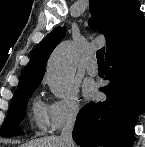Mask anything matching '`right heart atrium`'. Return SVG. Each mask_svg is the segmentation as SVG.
I'll return each instance as SVG.
<instances>
[{
	"label": "right heart atrium",
	"instance_id": "obj_1",
	"mask_svg": "<svg viewBox=\"0 0 145 147\" xmlns=\"http://www.w3.org/2000/svg\"><path fill=\"white\" fill-rule=\"evenodd\" d=\"M80 111V101L75 88L59 99H55L44 108V122L51 132L73 123Z\"/></svg>",
	"mask_w": 145,
	"mask_h": 147
}]
</instances>
